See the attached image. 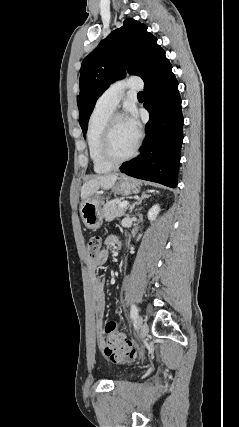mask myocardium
I'll return each instance as SVG.
<instances>
[{
	"mask_svg": "<svg viewBox=\"0 0 239 427\" xmlns=\"http://www.w3.org/2000/svg\"><path fill=\"white\" fill-rule=\"evenodd\" d=\"M122 118L123 117L121 114H118V113L111 114L105 124L102 137H101V143H100L101 157L106 163H108L111 166H117V165L123 164L131 160L132 158H134L140 146V137L137 136L135 145L130 153H128L124 157H116L113 155L112 149H111L112 131H113L115 122L118 119H122Z\"/></svg>",
	"mask_w": 239,
	"mask_h": 427,
	"instance_id": "1",
	"label": "myocardium"
}]
</instances>
